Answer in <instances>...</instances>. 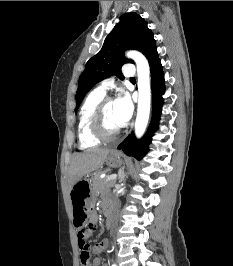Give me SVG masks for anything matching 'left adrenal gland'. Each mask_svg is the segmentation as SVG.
Returning a JSON list of instances; mask_svg holds the SVG:
<instances>
[{
	"label": "left adrenal gland",
	"instance_id": "left-adrenal-gland-1",
	"mask_svg": "<svg viewBox=\"0 0 233 266\" xmlns=\"http://www.w3.org/2000/svg\"><path fill=\"white\" fill-rule=\"evenodd\" d=\"M124 177H125V173H124V170L120 171L119 173V182H122L124 180Z\"/></svg>",
	"mask_w": 233,
	"mask_h": 266
}]
</instances>
